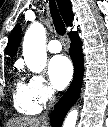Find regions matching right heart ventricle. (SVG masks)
<instances>
[{
  "mask_svg": "<svg viewBox=\"0 0 108 127\" xmlns=\"http://www.w3.org/2000/svg\"><path fill=\"white\" fill-rule=\"evenodd\" d=\"M13 103L15 109L24 115H35L40 111V105L34 99L29 85L20 80L15 82Z\"/></svg>",
  "mask_w": 108,
  "mask_h": 127,
  "instance_id": "e07e8e85",
  "label": "right heart ventricle"
}]
</instances>
